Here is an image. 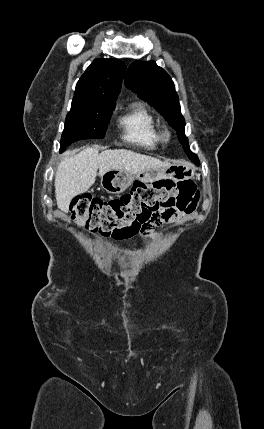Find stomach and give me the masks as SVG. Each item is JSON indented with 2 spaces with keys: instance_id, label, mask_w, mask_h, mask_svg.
I'll list each match as a JSON object with an SVG mask.
<instances>
[{
  "instance_id": "obj_1",
  "label": "stomach",
  "mask_w": 264,
  "mask_h": 429,
  "mask_svg": "<svg viewBox=\"0 0 264 429\" xmlns=\"http://www.w3.org/2000/svg\"><path fill=\"white\" fill-rule=\"evenodd\" d=\"M195 169L188 162H174L166 168L149 169L137 175L123 170H109L101 176V187L109 194L124 192L135 180L154 183L160 180L181 181L194 177Z\"/></svg>"
}]
</instances>
